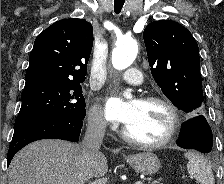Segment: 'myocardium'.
<instances>
[{"instance_id": "obj_1", "label": "myocardium", "mask_w": 224, "mask_h": 184, "mask_svg": "<svg viewBox=\"0 0 224 184\" xmlns=\"http://www.w3.org/2000/svg\"><path fill=\"white\" fill-rule=\"evenodd\" d=\"M140 101L148 104H160L167 109L170 114V124L167 133L161 140L146 142L131 136L125 126L122 130L123 137L128 142L145 148H160L169 144L175 138L181 126V116L178 108L170 100L161 96H145Z\"/></svg>"}]
</instances>
